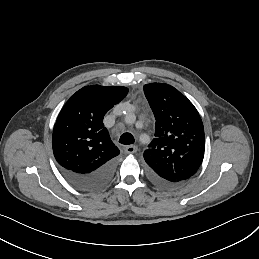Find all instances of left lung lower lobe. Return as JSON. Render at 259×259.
I'll return each instance as SVG.
<instances>
[{
  "label": "left lung lower lobe",
  "mask_w": 259,
  "mask_h": 259,
  "mask_svg": "<svg viewBox=\"0 0 259 259\" xmlns=\"http://www.w3.org/2000/svg\"><path fill=\"white\" fill-rule=\"evenodd\" d=\"M151 179L158 185L165 187V188H175L178 187L180 185H182L183 183H170V182H163V181H159L157 179H155L150 173H149Z\"/></svg>",
  "instance_id": "1"
}]
</instances>
